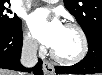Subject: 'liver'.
Masks as SVG:
<instances>
[{"label": "liver", "instance_id": "liver-1", "mask_svg": "<svg viewBox=\"0 0 102 75\" xmlns=\"http://www.w3.org/2000/svg\"><path fill=\"white\" fill-rule=\"evenodd\" d=\"M0 75H19L17 72L9 71V70H1Z\"/></svg>", "mask_w": 102, "mask_h": 75}]
</instances>
